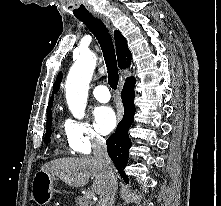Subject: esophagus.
Returning <instances> with one entry per match:
<instances>
[{
    "instance_id": "1",
    "label": "esophagus",
    "mask_w": 221,
    "mask_h": 206,
    "mask_svg": "<svg viewBox=\"0 0 221 206\" xmlns=\"http://www.w3.org/2000/svg\"><path fill=\"white\" fill-rule=\"evenodd\" d=\"M94 16L100 20H102L107 26L110 27V22L108 20V18H106L105 16L103 15H100V14H94Z\"/></svg>"
}]
</instances>
